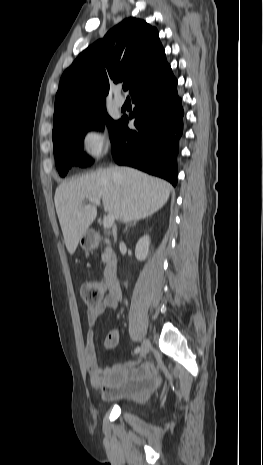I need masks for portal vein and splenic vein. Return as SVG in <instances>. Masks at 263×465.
<instances>
[{"mask_svg": "<svg viewBox=\"0 0 263 465\" xmlns=\"http://www.w3.org/2000/svg\"><path fill=\"white\" fill-rule=\"evenodd\" d=\"M89 202L94 204V205H100V199L99 198H90L89 199ZM114 220H115V217L113 214L109 213L107 214V216L104 217L103 219V227L105 229H109L112 227L113 223H114Z\"/></svg>", "mask_w": 263, "mask_h": 465, "instance_id": "portal-vein-and-splenic-vein-1", "label": "portal vein and splenic vein"}]
</instances>
